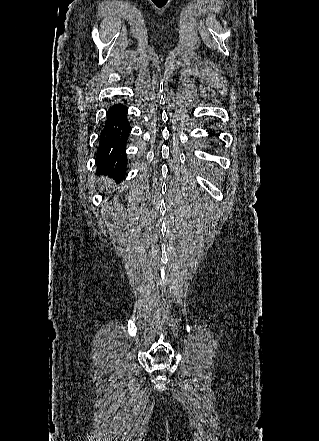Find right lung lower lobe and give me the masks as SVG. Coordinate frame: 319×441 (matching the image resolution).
<instances>
[{"label": "right lung lower lobe", "instance_id": "obj_1", "mask_svg": "<svg viewBox=\"0 0 319 441\" xmlns=\"http://www.w3.org/2000/svg\"><path fill=\"white\" fill-rule=\"evenodd\" d=\"M128 109L122 103H113L107 112L99 136L98 169L122 180L126 173L125 146L131 132L127 119Z\"/></svg>", "mask_w": 319, "mask_h": 441}]
</instances>
